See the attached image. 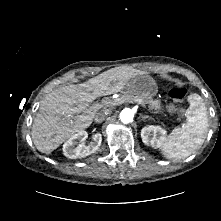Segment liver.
I'll use <instances>...</instances> for the list:
<instances>
[{
  "instance_id": "obj_1",
  "label": "liver",
  "mask_w": 221,
  "mask_h": 221,
  "mask_svg": "<svg viewBox=\"0 0 221 221\" xmlns=\"http://www.w3.org/2000/svg\"><path fill=\"white\" fill-rule=\"evenodd\" d=\"M135 76L133 70L113 68L87 82L60 87L41 101L31 136L37 150L47 155L75 133L88 128L102 104L95 99L121 91Z\"/></svg>"
}]
</instances>
